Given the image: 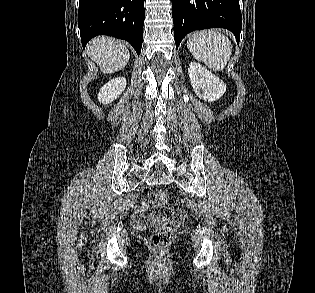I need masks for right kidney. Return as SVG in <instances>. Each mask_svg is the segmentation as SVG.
Returning a JSON list of instances; mask_svg holds the SVG:
<instances>
[{"mask_svg": "<svg viewBox=\"0 0 315 293\" xmlns=\"http://www.w3.org/2000/svg\"><path fill=\"white\" fill-rule=\"evenodd\" d=\"M125 77H117L107 82L101 87L98 93V100L100 103L109 104L119 97V95L126 88Z\"/></svg>", "mask_w": 315, "mask_h": 293, "instance_id": "1", "label": "right kidney"}]
</instances>
